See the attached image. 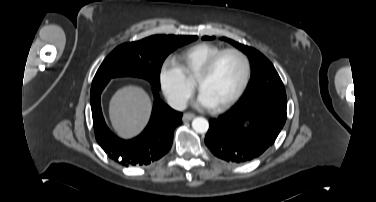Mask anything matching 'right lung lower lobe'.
I'll return each instance as SVG.
<instances>
[{"label":"right lung lower lobe","instance_id":"98d812e1","mask_svg":"<svg viewBox=\"0 0 376 202\" xmlns=\"http://www.w3.org/2000/svg\"><path fill=\"white\" fill-rule=\"evenodd\" d=\"M109 80L92 84L90 102L95 137L107 155L123 166L148 165L164 156L171 148L173 132L181 124L182 113L159 99L158 88L152 87L155 97L151 119L145 130L132 140H122L106 126L100 105V95Z\"/></svg>","mask_w":376,"mask_h":202}]
</instances>
